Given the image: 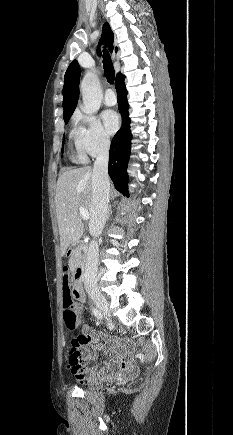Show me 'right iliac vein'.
<instances>
[{"instance_id":"1","label":"right iliac vein","mask_w":233,"mask_h":435,"mask_svg":"<svg viewBox=\"0 0 233 435\" xmlns=\"http://www.w3.org/2000/svg\"><path fill=\"white\" fill-rule=\"evenodd\" d=\"M90 297L96 306L102 311L107 317L110 316L109 305L106 298L99 292H91Z\"/></svg>"}]
</instances>
